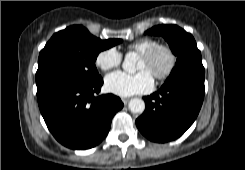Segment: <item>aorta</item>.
Masks as SVG:
<instances>
[{
	"mask_svg": "<svg viewBox=\"0 0 245 170\" xmlns=\"http://www.w3.org/2000/svg\"><path fill=\"white\" fill-rule=\"evenodd\" d=\"M137 56L135 53H128L123 61L122 67L128 73H134L136 71ZM128 107L133 113H143L145 110V103L140 98H133L129 101Z\"/></svg>",
	"mask_w": 245,
	"mask_h": 170,
	"instance_id": "aorta-1",
	"label": "aorta"
}]
</instances>
